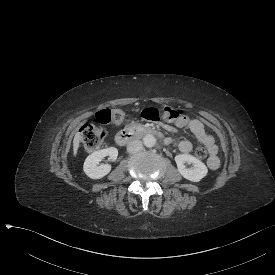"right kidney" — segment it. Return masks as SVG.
Wrapping results in <instances>:
<instances>
[{
    "instance_id": "ca27d5eb",
    "label": "right kidney",
    "mask_w": 275,
    "mask_h": 275,
    "mask_svg": "<svg viewBox=\"0 0 275 275\" xmlns=\"http://www.w3.org/2000/svg\"><path fill=\"white\" fill-rule=\"evenodd\" d=\"M109 156L111 161H115L118 156V150L115 147L98 150L89 155L83 165L85 174L92 179H100L111 171V165L101 164L99 162L105 157Z\"/></svg>"
}]
</instances>
